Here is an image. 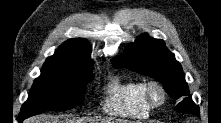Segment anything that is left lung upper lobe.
<instances>
[{
    "mask_svg": "<svg viewBox=\"0 0 221 123\" xmlns=\"http://www.w3.org/2000/svg\"><path fill=\"white\" fill-rule=\"evenodd\" d=\"M112 61L116 68L126 67L160 81L166 92L180 101L175 107L177 112L199 113L189 95L182 67L163 40L142 35L126 46L122 57Z\"/></svg>",
    "mask_w": 221,
    "mask_h": 123,
    "instance_id": "1",
    "label": "left lung upper lobe"
}]
</instances>
